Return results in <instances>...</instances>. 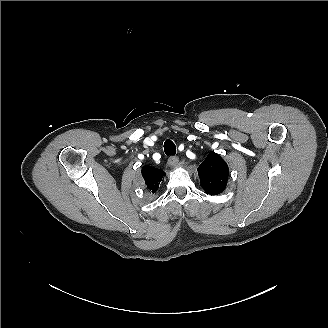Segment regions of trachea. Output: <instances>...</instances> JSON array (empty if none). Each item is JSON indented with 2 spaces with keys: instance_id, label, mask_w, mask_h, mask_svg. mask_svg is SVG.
<instances>
[{
  "instance_id": "trachea-1",
  "label": "trachea",
  "mask_w": 328,
  "mask_h": 328,
  "mask_svg": "<svg viewBox=\"0 0 328 328\" xmlns=\"http://www.w3.org/2000/svg\"><path fill=\"white\" fill-rule=\"evenodd\" d=\"M164 151H165L166 155H175L176 154V146L170 139H167L165 141Z\"/></svg>"
}]
</instances>
